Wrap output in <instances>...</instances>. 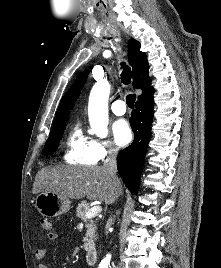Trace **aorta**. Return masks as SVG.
Returning <instances> with one entry per match:
<instances>
[{"label":"aorta","instance_id":"762f6f07","mask_svg":"<svg viewBox=\"0 0 221 268\" xmlns=\"http://www.w3.org/2000/svg\"><path fill=\"white\" fill-rule=\"evenodd\" d=\"M110 84L107 80H100L93 86L88 103V116L91 132L99 137L108 134V98Z\"/></svg>","mask_w":221,"mask_h":268}]
</instances>
